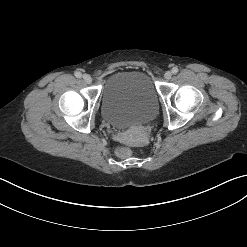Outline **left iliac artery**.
<instances>
[{"mask_svg": "<svg viewBox=\"0 0 247 247\" xmlns=\"http://www.w3.org/2000/svg\"><path fill=\"white\" fill-rule=\"evenodd\" d=\"M172 73H173V74L178 73V68H177V67H174V68L172 69Z\"/></svg>", "mask_w": 247, "mask_h": 247, "instance_id": "obj_1", "label": "left iliac artery"}]
</instances>
